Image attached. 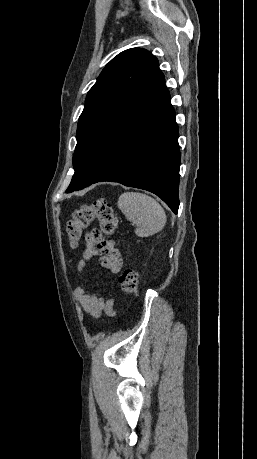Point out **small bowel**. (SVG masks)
<instances>
[{
	"label": "small bowel",
	"mask_w": 257,
	"mask_h": 459,
	"mask_svg": "<svg viewBox=\"0 0 257 459\" xmlns=\"http://www.w3.org/2000/svg\"><path fill=\"white\" fill-rule=\"evenodd\" d=\"M98 257L100 265L109 270L111 273H118L123 265L122 256L113 241L100 239L98 232L93 231L88 234L82 258L76 263V273L86 278L87 263ZM74 296L78 300L83 311L90 316L97 318L102 313L113 317L117 315V311L114 309V300H105L102 297H98L93 293H90L84 286H79L74 290Z\"/></svg>",
	"instance_id": "1"
}]
</instances>
